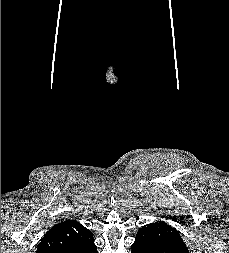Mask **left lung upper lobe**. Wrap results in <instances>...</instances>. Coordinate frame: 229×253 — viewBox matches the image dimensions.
<instances>
[{"label":"left lung upper lobe","instance_id":"left-lung-upper-lobe-1","mask_svg":"<svg viewBox=\"0 0 229 253\" xmlns=\"http://www.w3.org/2000/svg\"><path fill=\"white\" fill-rule=\"evenodd\" d=\"M136 241L156 246H179L187 248L179 231L161 221L143 226L137 232Z\"/></svg>","mask_w":229,"mask_h":253}]
</instances>
